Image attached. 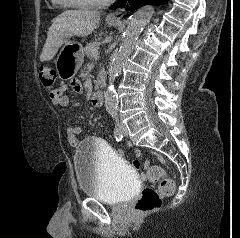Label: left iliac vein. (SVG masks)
Here are the masks:
<instances>
[{
    "label": "left iliac vein",
    "mask_w": 240,
    "mask_h": 238,
    "mask_svg": "<svg viewBox=\"0 0 240 238\" xmlns=\"http://www.w3.org/2000/svg\"><path fill=\"white\" fill-rule=\"evenodd\" d=\"M121 129H122L123 134L125 136H127L128 135V129H127V126L124 123L121 124Z\"/></svg>",
    "instance_id": "1"
}]
</instances>
